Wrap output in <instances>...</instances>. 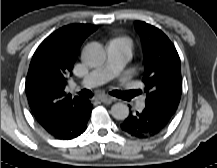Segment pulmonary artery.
Instances as JSON below:
<instances>
[{"label":"pulmonary artery","instance_id":"e3ab8cb5","mask_svg":"<svg viewBox=\"0 0 217 168\" xmlns=\"http://www.w3.org/2000/svg\"><path fill=\"white\" fill-rule=\"evenodd\" d=\"M108 59L105 65L91 71L82 79L86 87L103 84L111 79L118 78L131 58V49L123 41H112L108 44ZM139 109H144L145 100L142 98L138 104Z\"/></svg>","mask_w":217,"mask_h":168}]
</instances>
